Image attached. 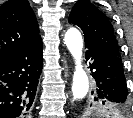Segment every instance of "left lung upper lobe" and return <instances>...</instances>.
Listing matches in <instances>:
<instances>
[{"mask_svg": "<svg viewBox=\"0 0 133 118\" xmlns=\"http://www.w3.org/2000/svg\"><path fill=\"white\" fill-rule=\"evenodd\" d=\"M69 23L76 24L82 29L85 42L96 44L121 59L113 26L107 16L95 5L87 0H79L72 8ZM94 101H96L95 104L86 105L84 115L97 111L95 108L102 110V112H113L126 107V105L97 100L96 96L94 97Z\"/></svg>", "mask_w": 133, "mask_h": 118, "instance_id": "obj_1", "label": "left lung upper lobe"}]
</instances>
